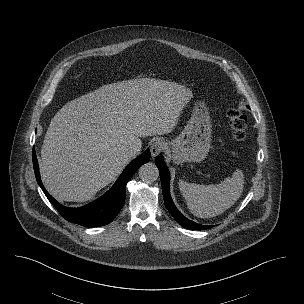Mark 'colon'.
I'll return each instance as SVG.
<instances>
[{
    "instance_id": "colon-1",
    "label": "colon",
    "mask_w": 304,
    "mask_h": 304,
    "mask_svg": "<svg viewBox=\"0 0 304 304\" xmlns=\"http://www.w3.org/2000/svg\"><path fill=\"white\" fill-rule=\"evenodd\" d=\"M228 124L234 140L242 141L247 133V117L237 108H231L227 112Z\"/></svg>"
}]
</instances>
